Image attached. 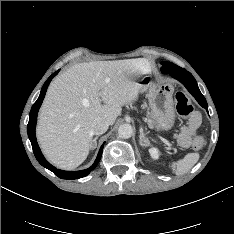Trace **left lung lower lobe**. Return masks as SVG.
I'll list each match as a JSON object with an SVG mask.
<instances>
[{"label":"left lung lower lobe","instance_id":"1","mask_svg":"<svg viewBox=\"0 0 234 234\" xmlns=\"http://www.w3.org/2000/svg\"><path fill=\"white\" fill-rule=\"evenodd\" d=\"M161 71L165 74H170L172 77L183 83L187 90L195 97L198 103L208 111L207 102L200 92L195 78L190 72L181 67Z\"/></svg>","mask_w":234,"mask_h":234}]
</instances>
